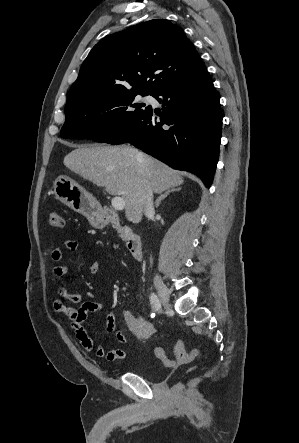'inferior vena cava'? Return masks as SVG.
<instances>
[{"label": "inferior vena cava", "mask_w": 299, "mask_h": 443, "mask_svg": "<svg viewBox=\"0 0 299 443\" xmlns=\"http://www.w3.org/2000/svg\"><path fill=\"white\" fill-rule=\"evenodd\" d=\"M142 204L144 207V214L149 217L154 212L153 206V190L150 185L146 183L144 192L142 194Z\"/></svg>", "instance_id": "inferior-vena-cava-1"}]
</instances>
